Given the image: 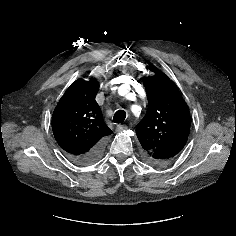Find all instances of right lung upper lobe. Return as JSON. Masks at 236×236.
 I'll list each match as a JSON object with an SVG mask.
<instances>
[{
    "mask_svg": "<svg viewBox=\"0 0 236 236\" xmlns=\"http://www.w3.org/2000/svg\"><path fill=\"white\" fill-rule=\"evenodd\" d=\"M98 82L76 80L66 90L52 115V130L68 155L89 152L112 133L95 100Z\"/></svg>",
    "mask_w": 236,
    "mask_h": 236,
    "instance_id": "cb5924a9",
    "label": "right lung upper lobe"
}]
</instances>
